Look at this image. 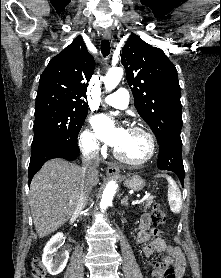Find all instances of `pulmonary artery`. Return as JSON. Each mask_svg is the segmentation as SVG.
<instances>
[{
  "label": "pulmonary artery",
  "mask_w": 221,
  "mask_h": 278,
  "mask_svg": "<svg viewBox=\"0 0 221 278\" xmlns=\"http://www.w3.org/2000/svg\"><path fill=\"white\" fill-rule=\"evenodd\" d=\"M104 103L119 109H125L129 104V93L126 89L120 88L116 92L106 96Z\"/></svg>",
  "instance_id": "obj_1"
}]
</instances>
